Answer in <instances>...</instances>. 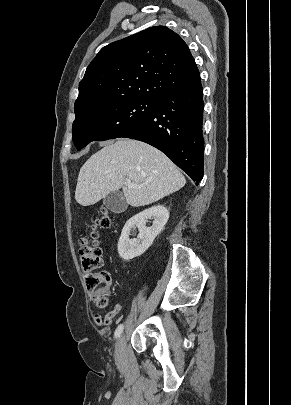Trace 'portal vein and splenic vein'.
<instances>
[{
  "label": "portal vein and splenic vein",
  "instance_id": "obj_1",
  "mask_svg": "<svg viewBox=\"0 0 291 405\" xmlns=\"http://www.w3.org/2000/svg\"><path fill=\"white\" fill-rule=\"evenodd\" d=\"M126 185H127L128 187H131V188L136 187V185L133 184V183L131 182V180H127V181H126Z\"/></svg>",
  "mask_w": 291,
  "mask_h": 405
}]
</instances>
